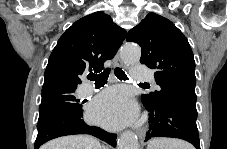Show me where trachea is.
<instances>
[{
	"label": "trachea",
	"mask_w": 227,
	"mask_h": 149,
	"mask_svg": "<svg viewBox=\"0 0 227 149\" xmlns=\"http://www.w3.org/2000/svg\"><path fill=\"white\" fill-rule=\"evenodd\" d=\"M109 74H110V68H106L103 72H101L99 74L90 73L87 76V78L94 81L96 85H104L105 83H107ZM114 74L120 80H124V81L127 80V75L119 67L115 68Z\"/></svg>",
	"instance_id": "trachea-1"
}]
</instances>
